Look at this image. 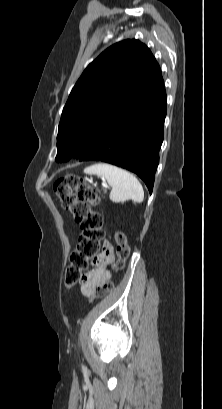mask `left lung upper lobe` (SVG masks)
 Here are the masks:
<instances>
[{
	"mask_svg": "<svg viewBox=\"0 0 222 409\" xmlns=\"http://www.w3.org/2000/svg\"><path fill=\"white\" fill-rule=\"evenodd\" d=\"M163 84L161 69L146 45L128 39L110 46L88 65L69 95L55 160L80 158L127 101L144 100Z\"/></svg>",
	"mask_w": 222,
	"mask_h": 409,
	"instance_id": "5c2ea615",
	"label": "left lung upper lobe"
}]
</instances>
